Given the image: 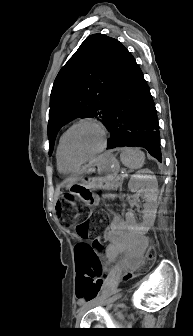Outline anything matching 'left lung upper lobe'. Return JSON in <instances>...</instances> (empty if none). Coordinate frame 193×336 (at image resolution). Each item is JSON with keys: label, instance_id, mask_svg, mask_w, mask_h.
I'll use <instances>...</instances> for the list:
<instances>
[{"label": "left lung upper lobe", "instance_id": "1", "mask_svg": "<svg viewBox=\"0 0 193 336\" xmlns=\"http://www.w3.org/2000/svg\"><path fill=\"white\" fill-rule=\"evenodd\" d=\"M127 49L103 34L87 37L58 73L50 96L49 155L60 128L74 118H97L106 126Z\"/></svg>", "mask_w": 193, "mask_h": 336}]
</instances>
